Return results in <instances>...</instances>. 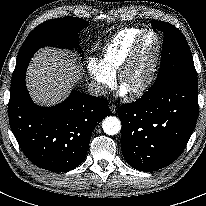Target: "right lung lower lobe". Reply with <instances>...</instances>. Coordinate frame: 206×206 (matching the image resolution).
Instances as JSON below:
<instances>
[{
  "label": "right lung lower lobe",
  "instance_id": "1",
  "mask_svg": "<svg viewBox=\"0 0 206 206\" xmlns=\"http://www.w3.org/2000/svg\"><path fill=\"white\" fill-rule=\"evenodd\" d=\"M25 73L12 82L8 104L10 127L21 150L42 169L76 168L85 159L93 129L110 113L108 101L73 90L62 103L40 107L28 94Z\"/></svg>",
  "mask_w": 206,
  "mask_h": 206
}]
</instances>
